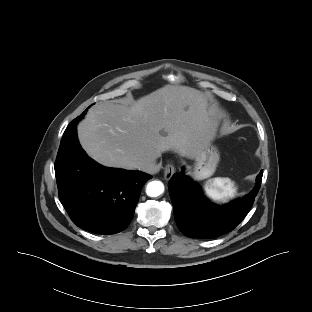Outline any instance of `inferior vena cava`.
<instances>
[{
    "mask_svg": "<svg viewBox=\"0 0 312 312\" xmlns=\"http://www.w3.org/2000/svg\"><path fill=\"white\" fill-rule=\"evenodd\" d=\"M161 164L156 163V159H146L143 160L139 166L138 170H141L146 173L154 174L159 171Z\"/></svg>",
    "mask_w": 312,
    "mask_h": 312,
    "instance_id": "602c4592",
    "label": "inferior vena cava"
}]
</instances>
